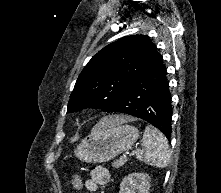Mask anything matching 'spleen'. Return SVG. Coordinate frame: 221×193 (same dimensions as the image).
<instances>
[{
    "label": "spleen",
    "mask_w": 221,
    "mask_h": 193,
    "mask_svg": "<svg viewBox=\"0 0 221 193\" xmlns=\"http://www.w3.org/2000/svg\"><path fill=\"white\" fill-rule=\"evenodd\" d=\"M143 149L136 153L137 159L157 168H165L170 161L169 145L165 136L152 126H146Z\"/></svg>",
    "instance_id": "spleen-1"
}]
</instances>
